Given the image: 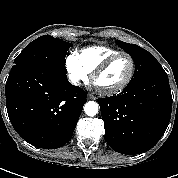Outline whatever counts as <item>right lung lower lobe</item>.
Segmentation results:
<instances>
[{"label":"right lung lower lobe","instance_id":"obj_1","mask_svg":"<svg viewBox=\"0 0 178 178\" xmlns=\"http://www.w3.org/2000/svg\"><path fill=\"white\" fill-rule=\"evenodd\" d=\"M87 93L57 65L19 66L6 82V107L15 131L29 144L56 149L72 137Z\"/></svg>","mask_w":178,"mask_h":178}]
</instances>
